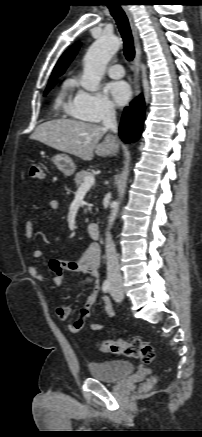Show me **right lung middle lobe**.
I'll return each mask as SVG.
<instances>
[{
  "label": "right lung middle lobe",
  "mask_w": 202,
  "mask_h": 437,
  "mask_svg": "<svg viewBox=\"0 0 202 437\" xmlns=\"http://www.w3.org/2000/svg\"><path fill=\"white\" fill-rule=\"evenodd\" d=\"M55 83H56V81H50V83L45 91V94L55 85Z\"/></svg>",
  "instance_id": "1"
}]
</instances>
